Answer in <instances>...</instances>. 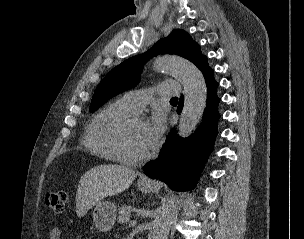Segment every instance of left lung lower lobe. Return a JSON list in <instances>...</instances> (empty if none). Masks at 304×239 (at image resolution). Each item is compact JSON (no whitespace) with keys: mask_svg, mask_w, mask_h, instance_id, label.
<instances>
[{"mask_svg":"<svg viewBox=\"0 0 304 239\" xmlns=\"http://www.w3.org/2000/svg\"><path fill=\"white\" fill-rule=\"evenodd\" d=\"M202 71L207 85V105L203 122L196 132L188 138H181L175 130L168 134L158 158L144 168V173L153 179H160L173 190H189L194 187L203 165L213 149L217 135V122L220 118L216 95L218 83L213 77L214 71L205 58L198 67ZM181 96L178 113L183 108Z\"/></svg>","mask_w":304,"mask_h":239,"instance_id":"left-lung-lower-lobe-1","label":"left lung lower lobe"}]
</instances>
